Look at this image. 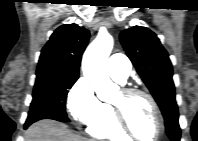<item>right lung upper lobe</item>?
<instances>
[{
	"label": "right lung upper lobe",
	"instance_id": "right-lung-upper-lobe-1",
	"mask_svg": "<svg viewBox=\"0 0 198 141\" xmlns=\"http://www.w3.org/2000/svg\"><path fill=\"white\" fill-rule=\"evenodd\" d=\"M89 37V31L76 24L57 28L42 49L36 74L79 76L81 57Z\"/></svg>",
	"mask_w": 198,
	"mask_h": 141
}]
</instances>
